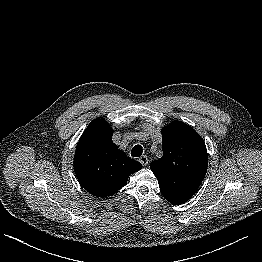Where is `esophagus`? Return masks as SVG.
Segmentation results:
<instances>
[{
	"instance_id": "34e87169",
	"label": "esophagus",
	"mask_w": 262,
	"mask_h": 262,
	"mask_svg": "<svg viewBox=\"0 0 262 262\" xmlns=\"http://www.w3.org/2000/svg\"><path fill=\"white\" fill-rule=\"evenodd\" d=\"M139 162L143 165L146 166L148 164V158L147 156L143 155L139 158Z\"/></svg>"
}]
</instances>
